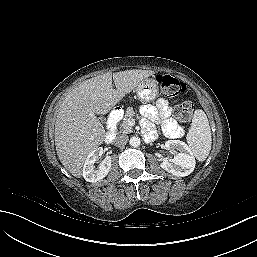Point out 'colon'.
I'll use <instances>...</instances> for the list:
<instances>
[{
    "mask_svg": "<svg viewBox=\"0 0 257 257\" xmlns=\"http://www.w3.org/2000/svg\"><path fill=\"white\" fill-rule=\"evenodd\" d=\"M156 81L160 87L161 93L168 98L176 97L182 94L186 86L185 84L170 75L159 74ZM194 105L191 102H184L176 108V116L182 123L190 121L193 113Z\"/></svg>",
    "mask_w": 257,
    "mask_h": 257,
    "instance_id": "1",
    "label": "colon"
}]
</instances>
